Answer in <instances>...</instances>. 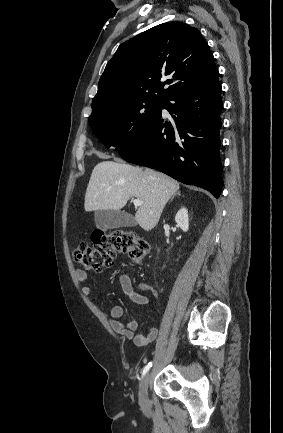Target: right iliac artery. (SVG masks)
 Listing matches in <instances>:
<instances>
[{"instance_id": "82829eb1", "label": "right iliac artery", "mask_w": 283, "mask_h": 433, "mask_svg": "<svg viewBox=\"0 0 283 433\" xmlns=\"http://www.w3.org/2000/svg\"><path fill=\"white\" fill-rule=\"evenodd\" d=\"M152 367V362H149L143 369L142 377L148 372V370Z\"/></svg>"}]
</instances>
